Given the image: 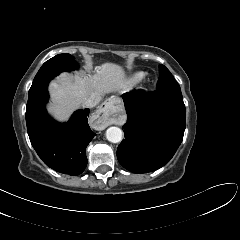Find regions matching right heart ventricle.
Segmentation results:
<instances>
[{
  "label": "right heart ventricle",
  "instance_id": "1",
  "mask_svg": "<svg viewBox=\"0 0 240 240\" xmlns=\"http://www.w3.org/2000/svg\"><path fill=\"white\" fill-rule=\"evenodd\" d=\"M143 75H144L143 72H136L131 76L130 81L132 83H136L143 77Z\"/></svg>",
  "mask_w": 240,
  "mask_h": 240
}]
</instances>
